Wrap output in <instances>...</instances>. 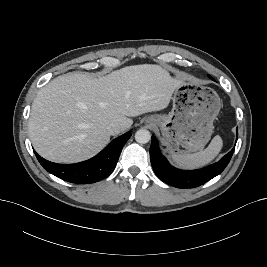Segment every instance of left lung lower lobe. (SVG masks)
Instances as JSON below:
<instances>
[{
  "instance_id": "0a47b994",
  "label": "left lung lower lobe",
  "mask_w": 267,
  "mask_h": 267,
  "mask_svg": "<svg viewBox=\"0 0 267 267\" xmlns=\"http://www.w3.org/2000/svg\"><path fill=\"white\" fill-rule=\"evenodd\" d=\"M238 135V131H237ZM234 148L220 161L202 169L184 171L174 168L161 154L159 144L155 136H152L150 147V160L155 174L165 183L176 188L198 187L220 174L228 165Z\"/></svg>"
}]
</instances>
